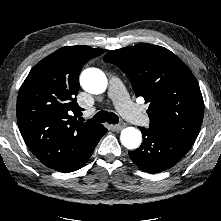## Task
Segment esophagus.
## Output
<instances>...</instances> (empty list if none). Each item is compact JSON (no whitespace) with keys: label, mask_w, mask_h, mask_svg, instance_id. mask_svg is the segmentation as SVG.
Here are the masks:
<instances>
[{"label":"esophagus","mask_w":221,"mask_h":221,"mask_svg":"<svg viewBox=\"0 0 221 221\" xmlns=\"http://www.w3.org/2000/svg\"><path fill=\"white\" fill-rule=\"evenodd\" d=\"M125 127H126V124H125V123H121V124L115 125V126H114V129H115L116 131H119V130L124 129Z\"/></svg>","instance_id":"esophagus-1"}]
</instances>
